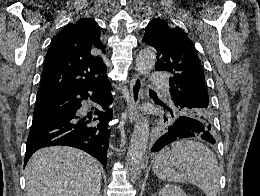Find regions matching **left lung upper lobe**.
<instances>
[{
  "mask_svg": "<svg viewBox=\"0 0 260 196\" xmlns=\"http://www.w3.org/2000/svg\"><path fill=\"white\" fill-rule=\"evenodd\" d=\"M143 42L157 51L155 69L171 75L169 85L172 106H163L165 114L153 138H160L171 123L181 118L195 119L213 128V111L204 72L190 39L180 28L156 18L148 24Z\"/></svg>",
  "mask_w": 260,
  "mask_h": 196,
  "instance_id": "1",
  "label": "left lung upper lobe"
}]
</instances>
